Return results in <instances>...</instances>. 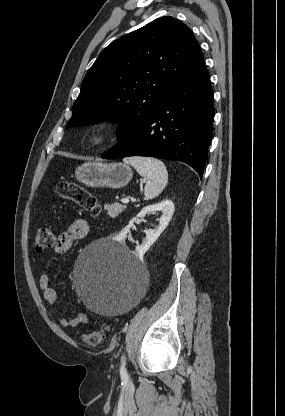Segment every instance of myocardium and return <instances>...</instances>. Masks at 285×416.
<instances>
[{
	"label": "myocardium",
	"mask_w": 285,
	"mask_h": 416,
	"mask_svg": "<svg viewBox=\"0 0 285 416\" xmlns=\"http://www.w3.org/2000/svg\"><path fill=\"white\" fill-rule=\"evenodd\" d=\"M111 139V131L104 124H94L90 126L84 136L83 144L91 150L105 147Z\"/></svg>",
	"instance_id": "obj_1"
}]
</instances>
